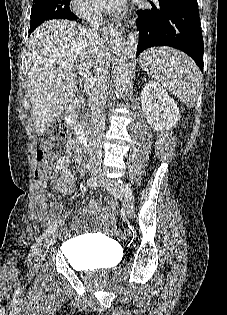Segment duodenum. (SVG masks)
<instances>
[{
  "instance_id": "1",
  "label": "duodenum",
  "mask_w": 227,
  "mask_h": 315,
  "mask_svg": "<svg viewBox=\"0 0 227 315\" xmlns=\"http://www.w3.org/2000/svg\"><path fill=\"white\" fill-rule=\"evenodd\" d=\"M65 121L69 127L75 130L78 142L83 146H87L89 144V134L80 122L77 105H73L71 107L69 113L65 117Z\"/></svg>"
}]
</instances>
